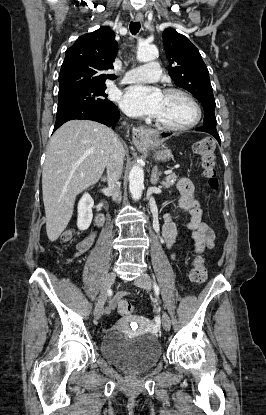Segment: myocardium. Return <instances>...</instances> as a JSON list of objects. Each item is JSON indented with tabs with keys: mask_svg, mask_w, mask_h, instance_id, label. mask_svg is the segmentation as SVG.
Segmentation results:
<instances>
[{
	"mask_svg": "<svg viewBox=\"0 0 266 415\" xmlns=\"http://www.w3.org/2000/svg\"><path fill=\"white\" fill-rule=\"evenodd\" d=\"M164 94H175L183 97L193 107L194 118L188 124L181 126H171L155 120V124L158 128L169 132H182L195 127L200 122L202 116L201 108L191 94L180 88H167L165 89Z\"/></svg>",
	"mask_w": 266,
	"mask_h": 415,
	"instance_id": "f54148a6",
	"label": "myocardium"
}]
</instances>
